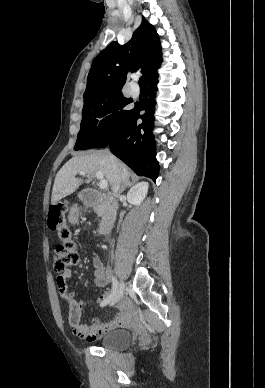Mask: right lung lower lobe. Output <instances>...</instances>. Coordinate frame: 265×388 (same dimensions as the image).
<instances>
[{
    "mask_svg": "<svg viewBox=\"0 0 265 388\" xmlns=\"http://www.w3.org/2000/svg\"><path fill=\"white\" fill-rule=\"evenodd\" d=\"M158 75L148 81L147 96L135 104L115 139L108 145L112 153L139 176L155 181L159 174L152 135ZM144 111L143 114L141 112ZM141 124H137L138 119Z\"/></svg>",
    "mask_w": 265,
    "mask_h": 388,
    "instance_id": "right-lung-lower-lobe-1",
    "label": "right lung lower lobe"
}]
</instances>
